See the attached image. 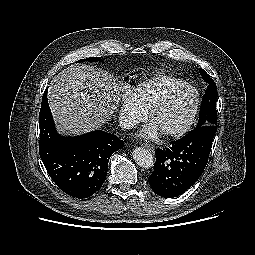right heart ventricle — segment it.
I'll use <instances>...</instances> for the list:
<instances>
[{
    "mask_svg": "<svg viewBox=\"0 0 255 255\" xmlns=\"http://www.w3.org/2000/svg\"><path fill=\"white\" fill-rule=\"evenodd\" d=\"M184 84L186 82L181 78L160 75L139 83L133 92L142 108L150 112L158 102Z\"/></svg>",
    "mask_w": 255,
    "mask_h": 255,
    "instance_id": "1",
    "label": "right heart ventricle"
}]
</instances>
